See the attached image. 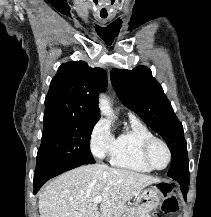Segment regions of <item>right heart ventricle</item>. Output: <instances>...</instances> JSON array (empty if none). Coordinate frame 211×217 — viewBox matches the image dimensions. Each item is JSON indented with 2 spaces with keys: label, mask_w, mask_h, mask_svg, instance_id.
<instances>
[{
  "label": "right heart ventricle",
  "mask_w": 211,
  "mask_h": 217,
  "mask_svg": "<svg viewBox=\"0 0 211 217\" xmlns=\"http://www.w3.org/2000/svg\"><path fill=\"white\" fill-rule=\"evenodd\" d=\"M154 137L142 122L130 117L129 125L115 138L110 162L116 167L149 173L152 171L142 159L144 142Z\"/></svg>",
  "instance_id": "right-heart-ventricle-1"
}]
</instances>
